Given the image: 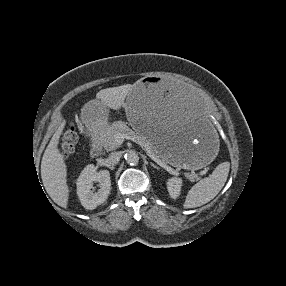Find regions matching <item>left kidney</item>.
I'll list each match as a JSON object with an SVG mask.
<instances>
[{"instance_id":"1","label":"left kidney","mask_w":286,"mask_h":286,"mask_svg":"<svg viewBox=\"0 0 286 286\" xmlns=\"http://www.w3.org/2000/svg\"><path fill=\"white\" fill-rule=\"evenodd\" d=\"M182 186V179L181 178H171L167 182V189L171 196V198L176 199L180 195Z\"/></svg>"}]
</instances>
